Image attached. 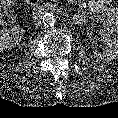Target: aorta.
<instances>
[{
  "mask_svg": "<svg viewBox=\"0 0 118 118\" xmlns=\"http://www.w3.org/2000/svg\"><path fill=\"white\" fill-rule=\"evenodd\" d=\"M42 21L44 23L45 26L50 27L53 26L56 22V18L53 14L51 13H46L43 18Z\"/></svg>",
  "mask_w": 118,
  "mask_h": 118,
  "instance_id": "aorta-1",
  "label": "aorta"
}]
</instances>
